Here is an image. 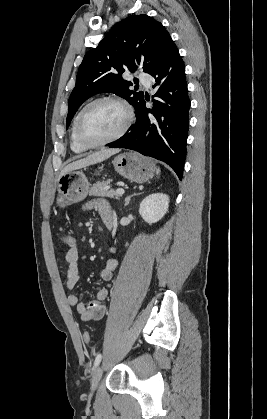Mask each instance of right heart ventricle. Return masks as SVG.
Returning a JSON list of instances; mask_svg holds the SVG:
<instances>
[{
  "label": "right heart ventricle",
  "mask_w": 267,
  "mask_h": 419,
  "mask_svg": "<svg viewBox=\"0 0 267 419\" xmlns=\"http://www.w3.org/2000/svg\"><path fill=\"white\" fill-rule=\"evenodd\" d=\"M77 116L74 118L73 124H72V131H71V148L75 153H83L87 151V148L83 147L76 139L75 137V122H76Z\"/></svg>",
  "instance_id": "right-heart-ventricle-1"
}]
</instances>
